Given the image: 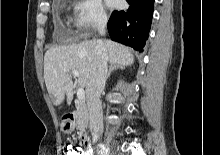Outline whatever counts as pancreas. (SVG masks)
I'll list each match as a JSON object with an SVG mask.
<instances>
[{
	"label": "pancreas",
	"instance_id": "obj_1",
	"mask_svg": "<svg viewBox=\"0 0 220 155\" xmlns=\"http://www.w3.org/2000/svg\"><path fill=\"white\" fill-rule=\"evenodd\" d=\"M76 108V124L78 125L80 132H83L87 128L89 120L87 106L84 102L79 101L76 104Z\"/></svg>",
	"mask_w": 220,
	"mask_h": 155
}]
</instances>
